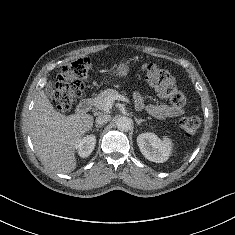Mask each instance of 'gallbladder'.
Listing matches in <instances>:
<instances>
[{
	"label": "gallbladder",
	"instance_id": "obj_1",
	"mask_svg": "<svg viewBox=\"0 0 235 235\" xmlns=\"http://www.w3.org/2000/svg\"><path fill=\"white\" fill-rule=\"evenodd\" d=\"M46 93L48 94V96L52 97L54 94V90H53V82L49 81L47 86H46Z\"/></svg>",
	"mask_w": 235,
	"mask_h": 235
}]
</instances>
